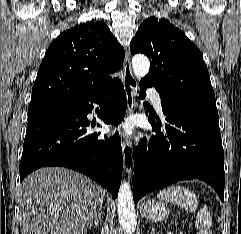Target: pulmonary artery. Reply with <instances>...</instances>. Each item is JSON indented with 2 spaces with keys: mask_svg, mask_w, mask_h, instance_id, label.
Masks as SVG:
<instances>
[{
  "mask_svg": "<svg viewBox=\"0 0 241 234\" xmlns=\"http://www.w3.org/2000/svg\"><path fill=\"white\" fill-rule=\"evenodd\" d=\"M148 94L151 98V101L155 107V109L159 112L162 111V107H161V97L158 94V92L154 89H148Z\"/></svg>",
  "mask_w": 241,
  "mask_h": 234,
  "instance_id": "obj_1",
  "label": "pulmonary artery"
}]
</instances>
